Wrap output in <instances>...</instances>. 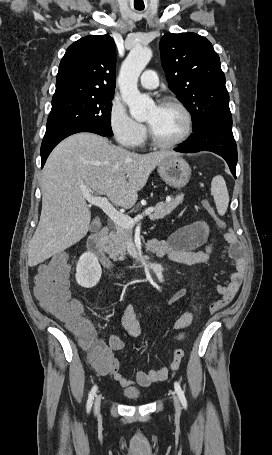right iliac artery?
<instances>
[{
	"mask_svg": "<svg viewBox=\"0 0 272 455\" xmlns=\"http://www.w3.org/2000/svg\"><path fill=\"white\" fill-rule=\"evenodd\" d=\"M96 390H97V386L95 385L90 394H89V397H88V401H87V412H90L91 410V407H92V404H93V399H94V396H95V393H96Z\"/></svg>",
	"mask_w": 272,
	"mask_h": 455,
	"instance_id": "1",
	"label": "right iliac artery"
}]
</instances>
